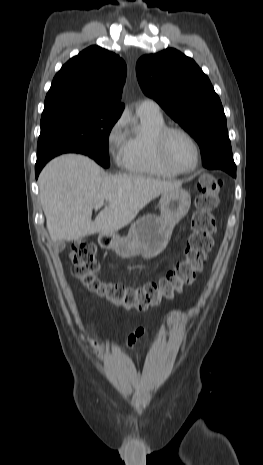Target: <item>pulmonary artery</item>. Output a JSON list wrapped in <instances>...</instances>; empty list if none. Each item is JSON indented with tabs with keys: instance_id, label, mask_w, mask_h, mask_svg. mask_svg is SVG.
<instances>
[{
	"instance_id": "e3ab8cb5",
	"label": "pulmonary artery",
	"mask_w": 263,
	"mask_h": 465,
	"mask_svg": "<svg viewBox=\"0 0 263 465\" xmlns=\"http://www.w3.org/2000/svg\"><path fill=\"white\" fill-rule=\"evenodd\" d=\"M137 112L161 114L159 104L152 99H143L137 106Z\"/></svg>"
}]
</instances>
